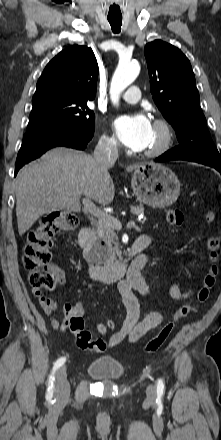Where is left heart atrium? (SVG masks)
<instances>
[{"instance_id":"39dd6f15","label":"left heart atrium","mask_w":221,"mask_h":440,"mask_svg":"<svg viewBox=\"0 0 221 440\" xmlns=\"http://www.w3.org/2000/svg\"><path fill=\"white\" fill-rule=\"evenodd\" d=\"M114 129L124 145L144 150L149 144L152 124L144 114L124 115L115 119Z\"/></svg>"}]
</instances>
